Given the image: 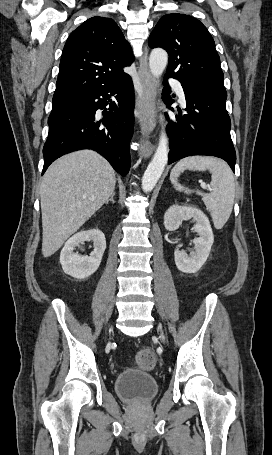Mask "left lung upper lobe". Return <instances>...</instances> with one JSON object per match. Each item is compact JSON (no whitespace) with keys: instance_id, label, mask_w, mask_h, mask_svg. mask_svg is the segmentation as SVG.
<instances>
[{"instance_id":"1","label":"left lung upper lobe","mask_w":272,"mask_h":455,"mask_svg":"<svg viewBox=\"0 0 272 455\" xmlns=\"http://www.w3.org/2000/svg\"><path fill=\"white\" fill-rule=\"evenodd\" d=\"M148 43L151 48L162 47L168 52L166 75L224 85L214 40L196 18L185 14L164 15Z\"/></svg>"}]
</instances>
